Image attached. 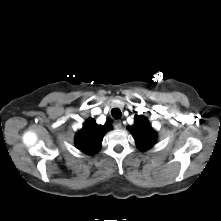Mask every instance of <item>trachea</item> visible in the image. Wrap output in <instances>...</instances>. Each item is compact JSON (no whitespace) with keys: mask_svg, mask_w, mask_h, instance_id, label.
Listing matches in <instances>:
<instances>
[{"mask_svg":"<svg viewBox=\"0 0 221 221\" xmlns=\"http://www.w3.org/2000/svg\"><path fill=\"white\" fill-rule=\"evenodd\" d=\"M111 115H112V117H113L114 119H120L121 116H122V113H121L120 109H118V108H113V109L111 110Z\"/></svg>","mask_w":221,"mask_h":221,"instance_id":"1","label":"trachea"}]
</instances>
